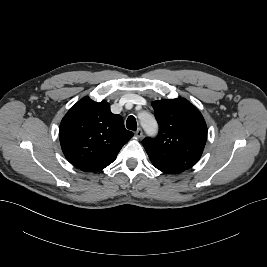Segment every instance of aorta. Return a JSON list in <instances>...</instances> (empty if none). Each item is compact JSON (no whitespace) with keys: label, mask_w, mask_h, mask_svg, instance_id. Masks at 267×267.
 I'll return each mask as SVG.
<instances>
[{"label":"aorta","mask_w":267,"mask_h":267,"mask_svg":"<svg viewBox=\"0 0 267 267\" xmlns=\"http://www.w3.org/2000/svg\"><path fill=\"white\" fill-rule=\"evenodd\" d=\"M141 124L147 133H152L157 128L155 119L149 114H145L141 117Z\"/></svg>","instance_id":"1"}]
</instances>
